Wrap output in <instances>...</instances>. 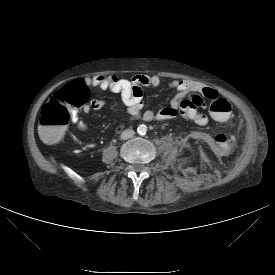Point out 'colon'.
Wrapping results in <instances>:
<instances>
[{"label": "colon", "mask_w": 275, "mask_h": 275, "mask_svg": "<svg viewBox=\"0 0 275 275\" xmlns=\"http://www.w3.org/2000/svg\"><path fill=\"white\" fill-rule=\"evenodd\" d=\"M88 100V87L81 80L72 81L59 88L40 111L39 130L43 141L46 143L58 142L66 132L71 113L84 108ZM207 101L209 109L217 121L226 122L232 117L231 103L213 91L202 95H193L189 103L193 108L198 109L205 107Z\"/></svg>", "instance_id": "1"}]
</instances>
